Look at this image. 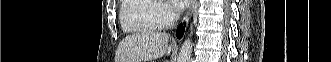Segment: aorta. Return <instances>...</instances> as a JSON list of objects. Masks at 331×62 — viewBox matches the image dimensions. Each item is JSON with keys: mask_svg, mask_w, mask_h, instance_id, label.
<instances>
[{"mask_svg": "<svg viewBox=\"0 0 331 62\" xmlns=\"http://www.w3.org/2000/svg\"><path fill=\"white\" fill-rule=\"evenodd\" d=\"M193 43L190 39L184 41L180 48L178 62H190Z\"/></svg>", "mask_w": 331, "mask_h": 62, "instance_id": "obj_1", "label": "aorta"}]
</instances>
